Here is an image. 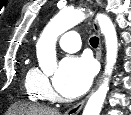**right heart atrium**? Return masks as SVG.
<instances>
[{
  "mask_svg": "<svg viewBox=\"0 0 131 115\" xmlns=\"http://www.w3.org/2000/svg\"><path fill=\"white\" fill-rule=\"evenodd\" d=\"M36 86L39 92L44 96L45 98H52L53 97V90L51 88L49 79L46 75L39 72V75L36 80Z\"/></svg>",
  "mask_w": 131,
  "mask_h": 115,
  "instance_id": "d8ad5b80",
  "label": "right heart atrium"
}]
</instances>
